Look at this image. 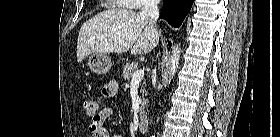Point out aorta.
<instances>
[{"label":"aorta","mask_w":280,"mask_h":137,"mask_svg":"<svg viewBox=\"0 0 280 137\" xmlns=\"http://www.w3.org/2000/svg\"><path fill=\"white\" fill-rule=\"evenodd\" d=\"M180 54H181L180 43L175 44L172 47V55H171V59H170L169 82L174 77V75L179 67Z\"/></svg>","instance_id":"762f6f07"}]
</instances>
